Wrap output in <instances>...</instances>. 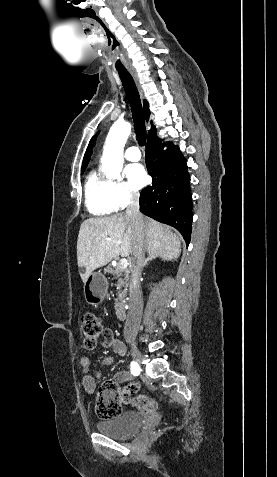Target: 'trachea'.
I'll return each instance as SVG.
<instances>
[{"mask_svg":"<svg viewBox=\"0 0 277 477\" xmlns=\"http://www.w3.org/2000/svg\"><path fill=\"white\" fill-rule=\"evenodd\" d=\"M118 74L130 103L137 141L140 146H144L146 143V128L138 90L128 71L121 70L118 71Z\"/></svg>","mask_w":277,"mask_h":477,"instance_id":"3493384b","label":"trachea"}]
</instances>
